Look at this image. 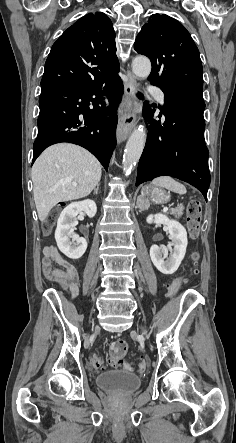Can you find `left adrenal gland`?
Wrapping results in <instances>:
<instances>
[{"mask_svg": "<svg viewBox=\"0 0 236 443\" xmlns=\"http://www.w3.org/2000/svg\"><path fill=\"white\" fill-rule=\"evenodd\" d=\"M137 207L141 210V211H143L145 208H144V206L138 201L137 202Z\"/></svg>", "mask_w": 236, "mask_h": 443, "instance_id": "1", "label": "left adrenal gland"}]
</instances>
